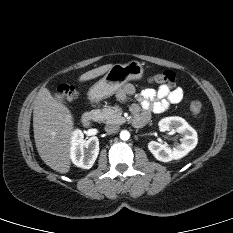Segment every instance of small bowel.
Instances as JSON below:
<instances>
[{"mask_svg": "<svg viewBox=\"0 0 233 233\" xmlns=\"http://www.w3.org/2000/svg\"><path fill=\"white\" fill-rule=\"evenodd\" d=\"M136 93L132 84H126L122 90L117 93L121 100ZM184 96L181 87L170 88L166 85H160L157 89L146 88L136 95L138 104L132 106L135 125H142L150 120L152 114H160L167 111L171 105L182 101Z\"/></svg>", "mask_w": 233, "mask_h": 233, "instance_id": "1", "label": "small bowel"}]
</instances>
